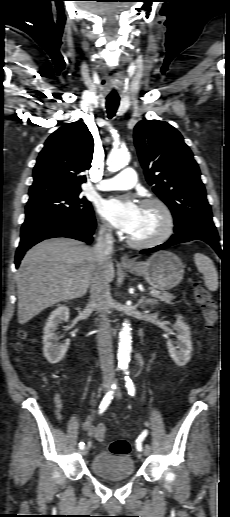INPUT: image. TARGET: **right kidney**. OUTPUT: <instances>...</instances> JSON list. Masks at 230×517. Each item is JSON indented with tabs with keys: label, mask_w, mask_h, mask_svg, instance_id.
<instances>
[{
	"label": "right kidney",
	"mask_w": 230,
	"mask_h": 517,
	"mask_svg": "<svg viewBox=\"0 0 230 517\" xmlns=\"http://www.w3.org/2000/svg\"><path fill=\"white\" fill-rule=\"evenodd\" d=\"M68 319L69 308L66 306H59L50 314L43 329V354L51 364L60 362L69 348L70 340L66 339L59 343V337L56 334L58 325L66 322Z\"/></svg>",
	"instance_id": "right-kidney-1"
}]
</instances>
